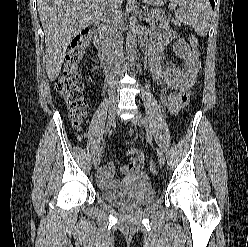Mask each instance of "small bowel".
I'll return each instance as SVG.
<instances>
[{
  "label": "small bowel",
  "instance_id": "c3829d8e",
  "mask_svg": "<svg viewBox=\"0 0 248 247\" xmlns=\"http://www.w3.org/2000/svg\"><path fill=\"white\" fill-rule=\"evenodd\" d=\"M173 34L167 32L156 36L149 49V68L153 82L158 86H165L171 89L170 112L175 114L183 108L190 99L196 85L200 70L199 51L192 47L185 40L178 39L174 45V51L178 57L183 59L184 65L178 67L174 64L163 63V50L171 41ZM126 157L130 162L123 165L120 179H114L115 167L112 162L107 166H101L97 172L99 184L105 188L123 187L129 175L139 171L145 165V157L142 151L136 148H129Z\"/></svg>",
  "mask_w": 248,
  "mask_h": 247
}]
</instances>
